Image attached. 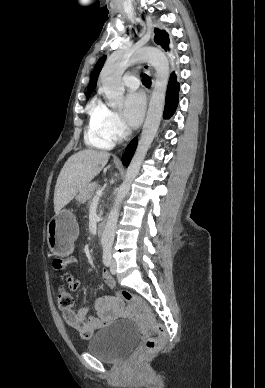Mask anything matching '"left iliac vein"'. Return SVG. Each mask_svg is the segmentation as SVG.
<instances>
[{
  "label": "left iliac vein",
  "instance_id": "4c4485c4",
  "mask_svg": "<svg viewBox=\"0 0 265 388\" xmlns=\"http://www.w3.org/2000/svg\"><path fill=\"white\" fill-rule=\"evenodd\" d=\"M116 268V261L112 259L110 262V272L116 274Z\"/></svg>",
  "mask_w": 265,
  "mask_h": 388
}]
</instances>
